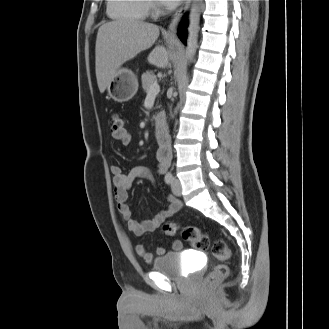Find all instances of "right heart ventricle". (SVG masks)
Masks as SVG:
<instances>
[{"instance_id": "right-heart-ventricle-1", "label": "right heart ventricle", "mask_w": 329, "mask_h": 329, "mask_svg": "<svg viewBox=\"0 0 329 329\" xmlns=\"http://www.w3.org/2000/svg\"><path fill=\"white\" fill-rule=\"evenodd\" d=\"M108 14L116 19L143 21L149 14L148 0H108Z\"/></svg>"}]
</instances>
